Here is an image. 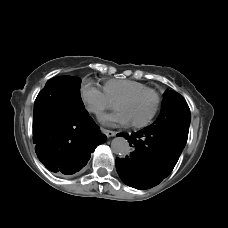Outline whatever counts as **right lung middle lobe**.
I'll list each match as a JSON object with an SVG mask.
<instances>
[{
  "label": "right lung middle lobe",
  "instance_id": "right-lung-middle-lobe-1",
  "mask_svg": "<svg viewBox=\"0 0 228 228\" xmlns=\"http://www.w3.org/2000/svg\"><path fill=\"white\" fill-rule=\"evenodd\" d=\"M81 79L78 77L61 76L47 81L46 87H56L57 98L70 105H82L80 97ZM39 100V99H38Z\"/></svg>",
  "mask_w": 228,
  "mask_h": 228
}]
</instances>
